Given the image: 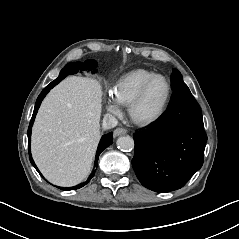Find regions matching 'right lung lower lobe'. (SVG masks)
<instances>
[{
	"instance_id": "98d812e1",
	"label": "right lung lower lobe",
	"mask_w": 239,
	"mask_h": 239,
	"mask_svg": "<svg viewBox=\"0 0 239 239\" xmlns=\"http://www.w3.org/2000/svg\"><path fill=\"white\" fill-rule=\"evenodd\" d=\"M96 66H97V63L94 60H87V61H85V63L76 62V63H69V64H67L61 70L58 78L55 79L54 81H52L46 88H44L42 90V92L40 93V95L38 96V98L36 100V103H35V108H34V112H33V115H32V119L30 121V125H29V128H28L29 159H30V162L32 163V165L36 168V170L38 172H39V170L36 167V165H35V163H34V161L32 159L31 153H30V141H31V127L33 125L35 116L37 114L38 108H39L43 98L50 91V89H52L55 85H57L60 81H62L67 75L75 74L78 70H93V69L96 68ZM112 138H113V133L112 132L104 135L101 138L100 143L98 145L97 153H96L94 167H97V161H98L100 153L106 147H108L109 145H111L113 143ZM39 174L41 175L40 172H39ZM94 174H95V170H93V172L91 173V175L89 176V178H88V180L86 182L80 183L77 186L68 187V188H62V187H59V188L62 189V190H75V189H79V188L83 187L84 185H86L90 181V179L94 176Z\"/></svg>"
}]
</instances>
